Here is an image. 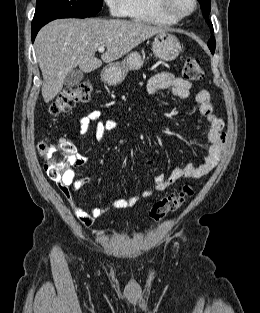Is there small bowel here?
<instances>
[{"instance_id":"obj_1","label":"small bowel","mask_w":260,"mask_h":313,"mask_svg":"<svg viewBox=\"0 0 260 313\" xmlns=\"http://www.w3.org/2000/svg\"><path fill=\"white\" fill-rule=\"evenodd\" d=\"M168 90L171 95L178 98H188L190 96L191 83L182 77L170 73H158L153 75L147 83V91L150 95L156 96L160 91ZM196 101L199 111L209 124L208 139L210 146L200 165L187 164L175 168L170 175L159 173L155 177L153 189H145L142 192L143 198H150L154 191L163 192L169 189L181 178L199 179L208 175L219 163V160L226 146V137L223 131L224 122L215 114L211 103L210 94L207 90L201 89L196 94ZM101 111L93 109L79 119L80 134L85 135L92 124L95 125L97 138L101 139L107 132L117 128L118 122L113 119L101 121ZM73 166L78 167L82 163L81 157L76 154L73 158ZM147 161V164H150ZM58 188L62 192L66 202L74 212L77 219L85 226L90 227L94 221L103 216L108 209H127L135 206L139 202L138 197L115 199L103 207H91L84 209L78 202L75 192L80 188V183L75 181L74 169L68 172L58 182Z\"/></svg>"}]
</instances>
